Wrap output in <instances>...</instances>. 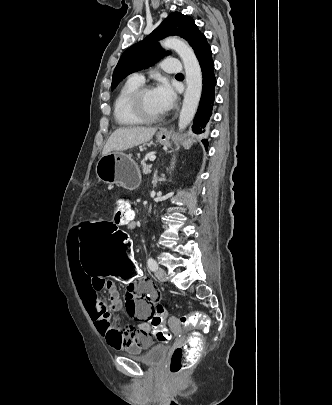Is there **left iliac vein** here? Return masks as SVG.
<instances>
[{"label": "left iliac vein", "mask_w": 332, "mask_h": 405, "mask_svg": "<svg viewBox=\"0 0 332 405\" xmlns=\"http://www.w3.org/2000/svg\"><path fill=\"white\" fill-rule=\"evenodd\" d=\"M155 276L161 282H165L167 280V273L163 268H158L155 271Z\"/></svg>", "instance_id": "obj_1"}]
</instances>
